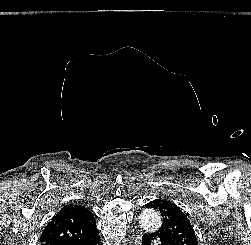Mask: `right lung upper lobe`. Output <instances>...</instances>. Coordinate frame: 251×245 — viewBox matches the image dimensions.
<instances>
[{
  "label": "right lung upper lobe",
  "mask_w": 251,
  "mask_h": 245,
  "mask_svg": "<svg viewBox=\"0 0 251 245\" xmlns=\"http://www.w3.org/2000/svg\"><path fill=\"white\" fill-rule=\"evenodd\" d=\"M98 234L94 215L87 208L69 204L62 208L45 227L41 245H63L82 241Z\"/></svg>",
  "instance_id": "right-lung-upper-lobe-1"
}]
</instances>
